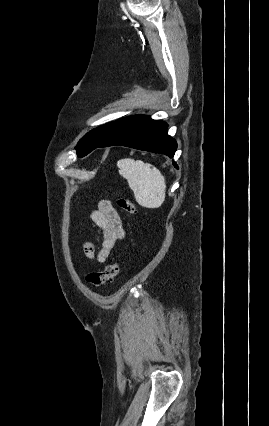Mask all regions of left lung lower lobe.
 Segmentation results:
<instances>
[{
  "label": "left lung lower lobe",
  "instance_id": "0a47b994",
  "mask_svg": "<svg viewBox=\"0 0 269 426\" xmlns=\"http://www.w3.org/2000/svg\"><path fill=\"white\" fill-rule=\"evenodd\" d=\"M167 124L148 116L135 115L116 120L97 147L127 146L172 158L176 141L167 134ZM96 147V148H97ZM176 168L177 165L173 163Z\"/></svg>",
  "mask_w": 269,
  "mask_h": 426
}]
</instances>
